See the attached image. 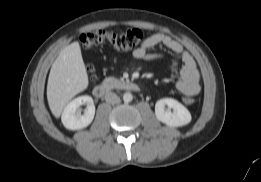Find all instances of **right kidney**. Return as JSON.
I'll use <instances>...</instances> for the list:
<instances>
[{
    "instance_id": "1",
    "label": "right kidney",
    "mask_w": 261,
    "mask_h": 182,
    "mask_svg": "<svg viewBox=\"0 0 261 182\" xmlns=\"http://www.w3.org/2000/svg\"><path fill=\"white\" fill-rule=\"evenodd\" d=\"M83 104L87 105V110L83 115H80L77 109ZM94 115L95 106L93 99L91 96L84 95L75 98L67 104L63 110L61 121L64 127L69 130H80L91 124Z\"/></svg>"
}]
</instances>
